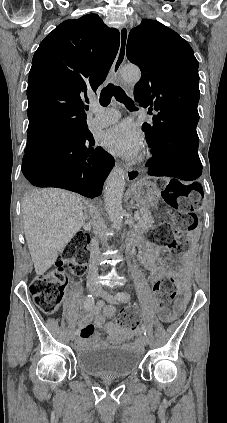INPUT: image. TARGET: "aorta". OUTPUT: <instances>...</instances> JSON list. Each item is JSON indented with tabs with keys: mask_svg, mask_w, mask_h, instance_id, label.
Wrapping results in <instances>:
<instances>
[{
	"mask_svg": "<svg viewBox=\"0 0 227 423\" xmlns=\"http://www.w3.org/2000/svg\"><path fill=\"white\" fill-rule=\"evenodd\" d=\"M141 73L137 67L125 66L122 77L127 82H137ZM125 188V174L121 168H114L106 180L104 193L105 209L109 219L120 228L123 222L122 195Z\"/></svg>",
	"mask_w": 227,
	"mask_h": 423,
	"instance_id": "762f6f07",
	"label": "aorta"
}]
</instances>
